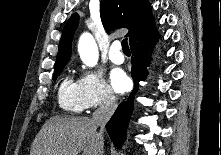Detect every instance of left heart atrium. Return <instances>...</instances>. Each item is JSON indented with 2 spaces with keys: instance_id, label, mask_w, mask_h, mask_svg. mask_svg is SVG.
Masks as SVG:
<instances>
[{
  "instance_id": "39dd6f15",
  "label": "left heart atrium",
  "mask_w": 221,
  "mask_h": 155,
  "mask_svg": "<svg viewBox=\"0 0 221 155\" xmlns=\"http://www.w3.org/2000/svg\"><path fill=\"white\" fill-rule=\"evenodd\" d=\"M110 80L113 88L119 92H125L130 86V80L126 73L121 69H115L111 72Z\"/></svg>"
}]
</instances>
